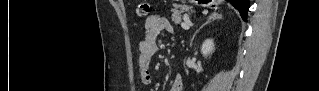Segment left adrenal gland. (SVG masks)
<instances>
[{
	"instance_id": "left-adrenal-gland-1",
	"label": "left adrenal gland",
	"mask_w": 319,
	"mask_h": 91,
	"mask_svg": "<svg viewBox=\"0 0 319 91\" xmlns=\"http://www.w3.org/2000/svg\"><path fill=\"white\" fill-rule=\"evenodd\" d=\"M217 19H218V20L222 19V15H221V14H218V13H216V12L212 13V14L208 17L207 21H206L202 26H200V28H199L198 30L195 31V33L193 34V37H192V39H191V43H190V44L192 45V42H193V40H194L196 34H197L205 25H207V24H209L210 22H212V21H214V20H217Z\"/></svg>"
}]
</instances>
